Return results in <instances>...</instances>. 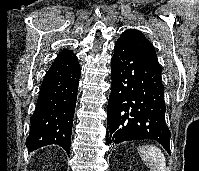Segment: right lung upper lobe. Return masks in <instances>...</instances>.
<instances>
[{"instance_id":"right-lung-upper-lobe-1","label":"right lung upper lobe","mask_w":199,"mask_h":171,"mask_svg":"<svg viewBox=\"0 0 199 171\" xmlns=\"http://www.w3.org/2000/svg\"><path fill=\"white\" fill-rule=\"evenodd\" d=\"M72 54V52L71 51H62L58 56H69V55H71Z\"/></svg>"}]
</instances>
